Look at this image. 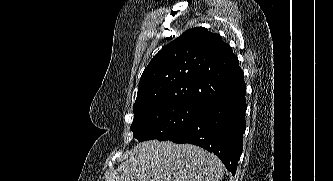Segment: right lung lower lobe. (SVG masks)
<instances>
[{
  "instance_id": "1",
  "label": "right lung lower lobe",
  "mask_w": 333,
  "mask_h": 181,
  "mask_svg": "<svg viewBox=\"0 0 333 181\" xmlns=\"http://www.w3.org/2000/svg\"><path fill=\"white\" fill-rule=\"evenodd\" d=\"M246 88L206 104L198 117L181 133L169 139L190 143L217 155L234 175L243 148L246 128Z\"/></svg>"
}]
</instances>
